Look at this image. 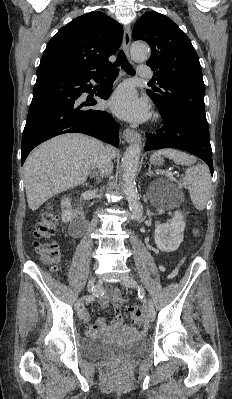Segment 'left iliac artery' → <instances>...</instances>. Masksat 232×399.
Returning <instances> with one entry per match:
<instances>
[{"instance_id":"obj_1","label":"left iliac artery","mask_w":232,"mask_h":399,"mask_svg":"<svg viewBox=\"0 0 232 399\" xmlns=\"http://www.w3.org/2000/svg\"><path fill=\"white\" fill-rule=\"evenodd\" d=\"M145 296V290L142 286L138 287L137 297L138 299H142ZM150 309L154 310V303L152 301L149 302Z\"/></svg>"}]
</instances>
